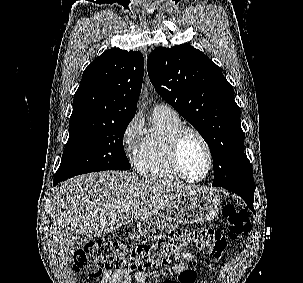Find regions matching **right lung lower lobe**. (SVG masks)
Masks as SVG:
<instances>
[{"mask_svg": "<svg viewBox=\"0 0 303 283\" xmlns=\"http://www.w3.org/2000/svg\"><path fill=\"white\" fill-rule=\"evenodd\" d=\"M63 180H65L64 177L55 176L54 177V186H56L60 181H63Z\"/></svg>", "mask_w": 303, "mask_h": 283, "instance_id": "right-lung-lower-lobe-1", "label": "right lung lower lobe"}]
</instances>
